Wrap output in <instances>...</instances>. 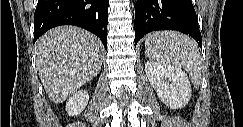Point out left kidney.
<instances>
[{
  "label": "left kidney",
  "instance_id": "1",
  "mask_svg": "<svg viewBox=\"0 0 243 127\" xmlns=\"http://www.w3.org/2000/svg\"><path fill=\"white\" fill-rule=\"evenodd\" d=\"M145 72L158 97L165 105L172 109H181L188 104L191 97V85L183 70L150 61L145 64Z\"/></svg>",
  "mask_w": 243,
  "mask_h": 127
}]
</instances>
